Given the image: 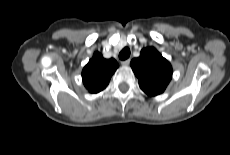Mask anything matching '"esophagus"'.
Returning a JSON list of instances; mask_svg holds the SVG:
<instances>
[{"label":"esophagus","instance_id":"esophagus-1","mask_svg":"<svg viewBox=\"0 0 230 155\" xmlns=\"http://www.w3.org/2000/svg\"><path fill=\"white\" fill-rule=\"evenodd\" d=\"M123 66H128L130 64V59L124 60L121 62Z\"/></svg>","mask_w":230,"mask_h":155}]
</instances>
